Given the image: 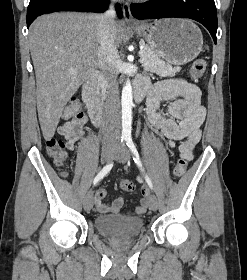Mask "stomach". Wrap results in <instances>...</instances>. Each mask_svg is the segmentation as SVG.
Segmentation results:
<instances>
[{"label": "stomach", "instance_id": "1", "mask_svg": "<svg viewBox=\"0 0 247 280\" xmlns=\"http://www.w3.org/2000/svg\"><path fill=\"white\" fill-rule=\"evenodd\" d=\"M135 32L146 40L162 60L184 65L194 60L202 50L203 36L195 23L186 19H163L141 23Z\"/></svg>", "mask_w": 247, "mask_h": 280}]
</instances>
